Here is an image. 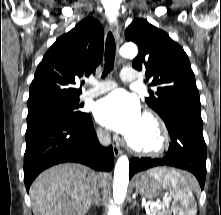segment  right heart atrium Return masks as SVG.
<instances>
[{"instance_id":"obj_1","label":"right heart atrium","mask_w":221,"mask_h":215,"mask_svg":"<svg viewBox=\"0 0 221 215\" xmlns=\"http://www.w3.org/2000/svg\"><path fill=\"white\" fill-rule=\"evenodd\" d=\"M96 133H97L98 137L102 140H106L108 137L107 132L105 130H103L102 128H97Z\"/></svg>"}]
</instances>
